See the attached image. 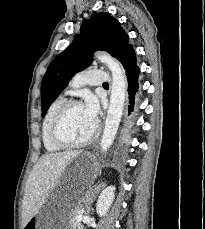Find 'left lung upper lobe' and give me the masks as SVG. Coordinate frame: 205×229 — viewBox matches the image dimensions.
I'll return each instance as SVG.
<instances>
[{"label": "left lung upper lobe", "mask_w": 205, "mask_h": 229, "mask_svg": "<svg viewBox=\"0 0 205 229\" xmlns=\"http://www.w3.org/2000/svg\"><path fill=\"white\" fill-rule=\"evenodd\" d=\"M81 33L50 63L41 83L42 117L49 106L67 86L71 77L92 62L95 51H107L117 58L129 46V36L119 21L109 13L93 14L83 21Z\"/></svg>", "instance_id": "1"}]
</instances>
